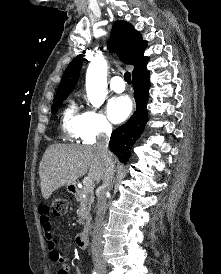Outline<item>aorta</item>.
Wrapping results in <instances>:
<instances>
[{
  "mask_svg": "<svg viewBox=\"0 0 221 274\" xmlns=\"http://www.w3.org/2000/svg\"><path fill=\"white\" fill-rule=\"evenodd\" d=\"M107 89V64L104 60H94L86 73V92L89 102L99 107L105 100Z\"/></svg>",
  "mask_w": 221,
  "mask_h": 274,
  "instance_id": "aorta-1",
  "label": "aorta"
}]
</instances>
